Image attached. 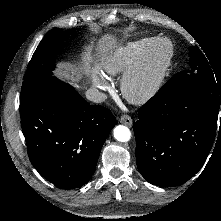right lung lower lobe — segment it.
<instances>
[{
	"label": "right lung lower lobe",
	"instance_id": "right-lung-lower-lobe-1",
	"mask_svg": "<svg viewBox=\"0 0 221 221\" xmlns=\"http://www.w3.org/2000/svg\"><path fill=\"white\" fill-rule=\"evenodd\" d=\"M20 116L31 163L61 189L79 188L89 181L116 125L108 109L90 105L53 76L20 102Z\"/></svg>",
	"mask_w": 221,
	"mask_h": 221
}]
</instances>
